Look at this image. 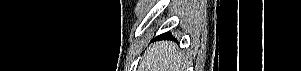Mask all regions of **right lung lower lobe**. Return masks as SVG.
<instances>
[{
	"mask_svg": "<svg viewBox=\"0 0 301 71\" xmlns=\"http://www.w3.org/2000/svg\"><path fill=\"white\" fill-rule=\"evenodd\" d=\"M156 38H158V39H170V38H173V36L171 35V33L166 32V33H163V34L159 35Z\"/></svg>",
	"mask_w": 301,
	"mask_h": 71,
	"instance_id": "98d812e1",
	"label": "right lung lower lobe"
}]
</instances>
